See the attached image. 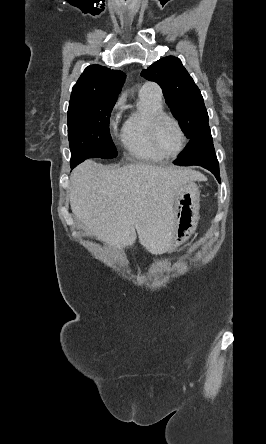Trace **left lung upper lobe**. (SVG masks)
<instances>
[{"label":"left lung upper lobe","instance_id":"1","mask_svg":"<svg viewBox=\"0 0 266 444\" xmlns=\"http://www.w3.org/2000/svg\"><path fill=\"white\" fill-rule=\"evenodd\" d=\"M141 75L160 85L166 103L188 138L193 139L210 129L201 92L179 58L164 57L144 69Z\"/></svg>","mask_w":266,"mask_h":444}]
</instances>
